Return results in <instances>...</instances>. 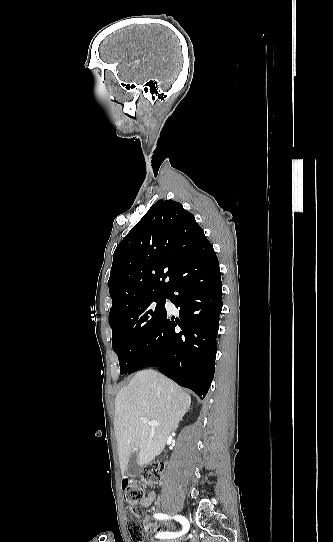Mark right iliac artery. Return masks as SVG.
Returning <instances> with one entry per match:
<instances>
[{"instance_id": "obj_1", "label": "right iliac artery", "mask_w": 333, "mask_h": 542, "mask_svg": "<svg viewBox=\"0 0 333 542\" xmlns=\"http://www.w3.org/2000/svg\"><path fill=\"white\" fill-rule=\"evenodd\" d=\"M155 518L162 519V520L163 519H169V517L167 515L160 514V513L155 514ZM174 519H176L177 521H179L183 525V530L181 532H179V533H172V532L158 533L156 535V538H176V537H179L180 535L186 533L189 530V522L185 517L177 515V516L174 517Z\"/></svg>"}]
</instances>
